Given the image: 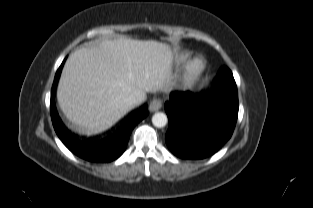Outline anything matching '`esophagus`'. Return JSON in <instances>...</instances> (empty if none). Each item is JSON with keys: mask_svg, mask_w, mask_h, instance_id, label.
<instances>
[{"mask_svg": "<svg viewBox=\"0 0 313 208\" xmlns=\"http://www.w3.org/2000/svg\"><path fill=\"white\" fill-rule=\"evenodd\" d=\"M163 103L162 100L159 98H154L149 105V109L150 111H157L159 109H161Z\"/></svg>", "mask_w": 313, "mask_h": 208, "instance_id": "1", "label": "esophagus"}]
</instances>
